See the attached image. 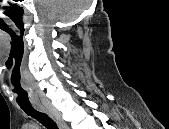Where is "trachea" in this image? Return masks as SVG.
Here are the masks:
<instances>
[{
    "instance_id": "trachea-1",
    "label": "trachea",
    "mask_w": 169,
    "mask_h": 129,
    "mask_svg": "<svg viewBox=\"0 0 169 129\" xmlns=\"http://www.w3.org/2000/svg\"><path fill=\"white\" fill-rule=\"evenodd\" d=\"M21 109L29 116L37 120L47 129H58L56 123L45 113L35 109L33 106H20Z\"/></svg>"
}]
</instances>
